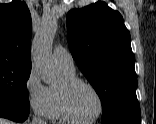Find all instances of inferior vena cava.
I'll use <instances>...</instances> for the list:
<instances>
[{
  "label": "inferior vena cava",
  "instance_id": "inferior-vena-cava-1",
  "mask_svg": "<svg viewBox=\"0 0 156 124\" xmlns=\"http://www.w3.org/2000/svg\"><path fill=\"white\" fill-rule=\"evenodd\" d=\"M31 124H46L40 117L33 116Z\"/></svg>",
  "mask_w": 156,
  "mask_h": 124
}]
</instances>
